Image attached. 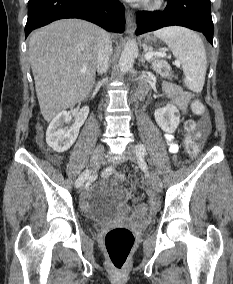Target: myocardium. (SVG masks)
I'll return each instance as SVG.
<instances>
[{"label":"myocardium","instance_id":"myocardium-1","mask_svg":"<svg viewBox=\"0 0 233 284\" xmlns=\"http://www.w3.org/2000/svg\"><path fill=\"white\" fill-rule=\"evenodd\" d=\"M162 3H163V0H149L147 6L150 9H156L160 7Z\"/></svg>","mask_w":233,"mask_h":284}]
</instances>
